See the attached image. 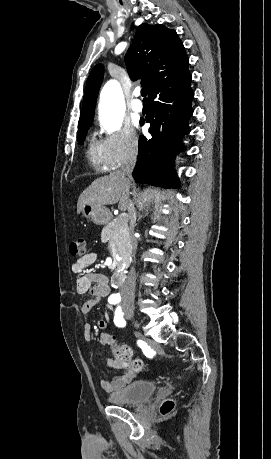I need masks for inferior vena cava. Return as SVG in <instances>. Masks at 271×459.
<instances>
[{"mask_svg": "<svg viewBox=\"0 0 271 459\" xmlns=\"http://www.w3.org/2000/svg\"><path fill=\"white\" fill-rule=\"evenodd\" d=\"M136 160H129L127 164H124L120 170V174H124V176H128L130 180H132V172L135 168ZM129 220H131L132 224H135L136 222V212H134L133 208L130 210V216ZM120 293L123 297V299H134V293H135V279L132 277H128L126 279L125 283H123Z\"/></svg>", "mask_w": 271, "mask_h": 459, "instance_id": "obj_1", "label": "inferior vena cava"}]
</instances>
